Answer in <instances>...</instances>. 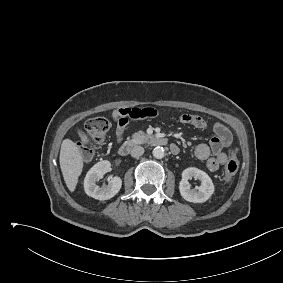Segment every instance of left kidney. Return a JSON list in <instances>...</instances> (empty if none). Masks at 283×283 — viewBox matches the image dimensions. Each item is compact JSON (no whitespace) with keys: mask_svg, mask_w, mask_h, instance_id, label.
Segmentation results:
<instances>
[{"mask_svg":"<svg viewBox=\"0 0 283 283\" xmlns=\"http://www.w3.org/2000/svg\"><path fill=\"white\" fill-rule=\"evenodd\" d=\"M198 179L201 185L196 189H191L189 179ZM214 185L211 178L204 171L189 167L182 172V180L179 184L181 196L188 202L203 203L214 193Z\"/></svg>","mask_w":283,"mask_h":283,"instance_id":"obj_1","label":"left kidney"}]
</instances>
